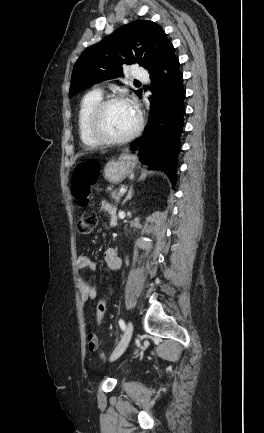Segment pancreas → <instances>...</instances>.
Segmentation results:
<instances>
[{"instance_id":"obj_1","label":"pancreas","mask_w":264,"mask_h":433,"mask_svg":"<svg viewBox=\"0 0 264 433\" xmlns=\"http://www.w3.org/2000/svg\"><path fill=\"white\" fill-rule=\"evenodd\" d=\"M122 195H123V193H120V191H117V190L111 191V197L114 199V201L116 203L119 202Z\"/></svg>"}]
</instances>
